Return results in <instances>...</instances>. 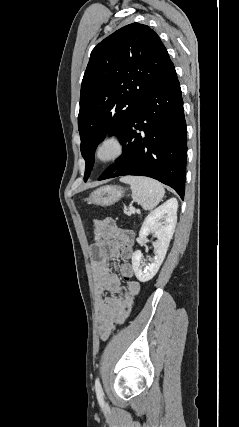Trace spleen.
<instances>
[{"label":"spleen","instance_id":"obj_1","mask_svg":"<svg viewBox=\"0 0 239 427\" xmlns=\"http://www.w3.org/2000/svg\"><path fill=\"white\" fill-rule=\"evenodd\" d=\"M120 181L130 185L133 200L138 202L144 210L155 208L165 194L162 184L151 178L125 176Z\"/></svg>","mask_w":239,"mask_h":427}]
</instances>
